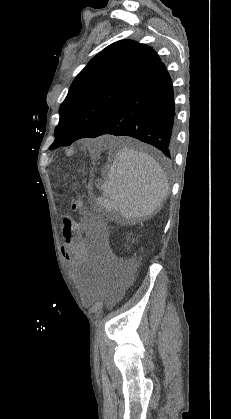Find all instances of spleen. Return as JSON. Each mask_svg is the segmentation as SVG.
I'll use <instances>...</instances> for the list:
<instances>
[{"label":"spleen","mask_w":231,"mask_h":419,"mask_svg":"<svg viewBox=\"0 0 231 419\" xmlns=\"http://www.w3.org/2000/svg\"><path fill=\"white\" fill-rule=\"evenodd\" d=\"M98 198L106 210H116L126 219L153 215L168 194L166 174L149 155L133 148H120Z\"/></svg>","instance_id":"obj_1"}]
</instances>
